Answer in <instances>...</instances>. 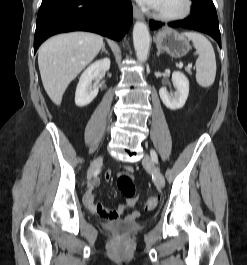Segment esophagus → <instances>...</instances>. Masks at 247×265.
<instances>
[{"label":"esophagus","mask_w":247,"mask_h":265,"mask_svg":"<svg viewBox=\"0 0 247 265\" xmlns=\"http://www.w3.org/2000/svg\"><path fill=\"white\" fill-rule=\"evenodd\" d=\"M133 15L138 20H143L144 19L143 13L141 12V10L135 4L133 5Z\"/></svg>","instance_id":"obj_1"}]
</instances>
